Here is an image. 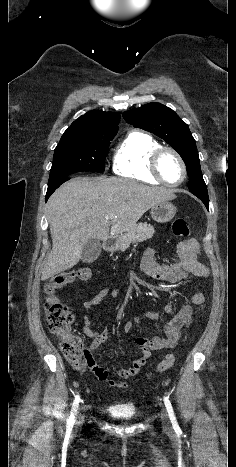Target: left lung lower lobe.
<instances>
[{"instance_id": "left-lung-lower-lobe-1", "label": "left lung lower lobe", "mask_w": 236, "mask_h": 467, "mask_svg": "<svg viewBox=\"0 0 236 467\" xmlns=\"http://www.w3.org/2000/svg\"><path fill=\"white\" fill-rule=\"evenodd\" d=\"M191 193L194 194L196 197H198L205 204L206 208L209 210V198H208L207 191H203V192L191 191Z\"/></svg>"}]
</instances>
